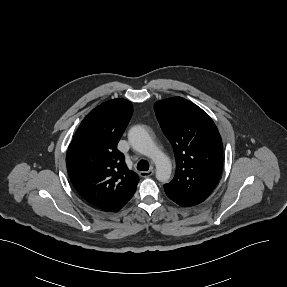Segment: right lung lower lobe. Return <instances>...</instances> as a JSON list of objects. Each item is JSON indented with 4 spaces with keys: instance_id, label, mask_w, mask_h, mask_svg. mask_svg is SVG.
<instances>
[{
    "instance_id": "1",
    "label": "right lung lower lobe",
    "mask_w": 287,
    "mask_h": 287,
    "mask_svg": "<svg viewBox=\"0 0 287 287\" xmlns=\"http://www.w3.org/2000/svg\"><path fill=\"white\" fill-rule=\"evenodd\" d=\"M134 193L127 195L103 208H100L102 211H106V212H116L118 210H120L133 196Z\"/></svg>"
}]
</instances>
